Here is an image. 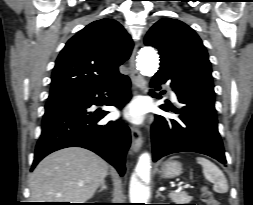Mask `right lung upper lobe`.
<instances>
[{"mask_svg": "<svg viewBox=\"0 0 253 205\" xmlns=\"http://www.w3.org/2000/svg\"><path fill=\"white\" fill-rule=\"evenodd\" d=\"M133 41L113 19H101L73 36L60 52L48 100L96 90L122 76L118 67L131 55Z\"/></svg>", "mask_w": 253, "mask_h": 205, "instance_id": "1", "label": "right lung upper lobe"}]
</instances>
